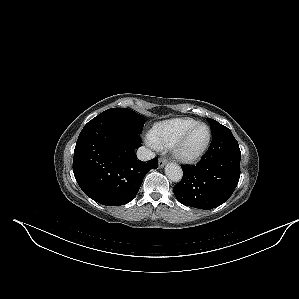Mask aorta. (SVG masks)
<instances>
[{
    "label": "aorta",
    "instance_id": "1",
    "mask_svg": "<svg viewBox=\"0 0 299 299\" xmlns=\"http://www.w3.org/2000/svg\"><path fill=\"white\" fill-rule=\"evenodd\" d=\"M165 174L173 182H179L182 179L183 172L180 166L175 163H168L165 167Z\"/></svg>",
    "mask_w": 299,
    "mask_h": 299
}]
</instances>
